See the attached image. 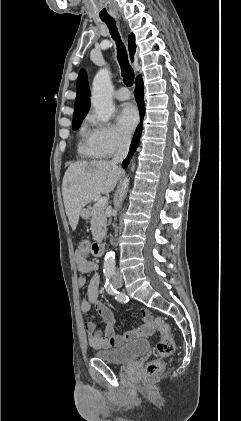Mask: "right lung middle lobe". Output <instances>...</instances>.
Segmentation results:
<instances>
[{
	"mask_svg": "<svg viewBox=\"0 0 241 421\" xmlns=\"http://www.w3.org/2000/svg\"><path fill=\"white\" fill-rule=\"evenodd\" d=\"M84 118H85V116L73 118L72 129L77 130Z\"/></svg>",
	"mask_w": 241,
	"mask_h": 421,
	"instance_id": "1",
	"label": "right lung middle lobe"
}]
</instances>
